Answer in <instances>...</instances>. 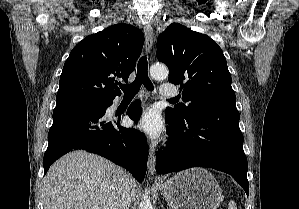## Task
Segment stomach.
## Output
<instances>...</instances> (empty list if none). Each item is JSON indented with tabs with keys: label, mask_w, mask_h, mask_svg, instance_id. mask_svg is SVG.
<instances>
[{
	"label": "stomach",
	"mask_w": 299,
	"mask_h": 209,
	"mask_svg": "<svg viewBox=\"0 0 299 209\" xmlns=\"http://www.w3.org/2000/svg\"><path fill=\"white\" fill-rule=\"evenodd\" d=\"M159 189L172 209H217L223 198L218 182L203 168L179 172Z\"/></svg>",
	"instance_id": "0dacf381"
}]
</instances>
